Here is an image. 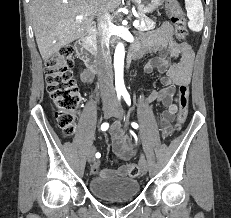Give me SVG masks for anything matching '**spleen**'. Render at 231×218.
<instances>
[{
	"mask_svg": "<svg viewBox=\"0 0 231 218\" xmlns=\"http://www.w3.org/2000/svg\"><path fill=\"white\" fill-rule=\"evenodd\" d=\"M187 11L188 27L195 32H199L203 28L204 11L201 0H185Z\"/></svg>",
	"mask_w": 231,
	"mask_h": 218,
	"instance_id": "1",
	"label": "spleen"
}]
</instances>
